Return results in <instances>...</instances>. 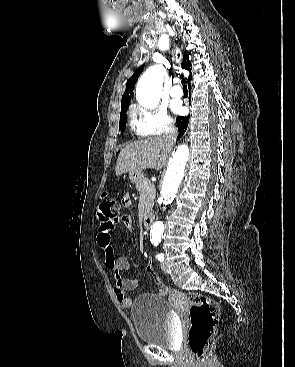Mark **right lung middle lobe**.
Masks as SVG:
<instances>
[{"instance_id":"right-lung-middle-lobe-1","label":"right lung middle lobe","mask_w":295,"mask_h":367,"mask_svg":"<svg viewBox=\"0 0 295 367\" xmlns=\"http://www.w3.org/2000/svg\"><path fill=\"white\" fill-rule=\"evenodd\" d=\"M130 103H126L121 106V113H120V121H119V131H124L126 128V112L129 107Z\"/></svg>"}]
</instances>
